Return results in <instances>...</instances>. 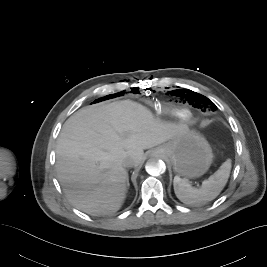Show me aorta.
Masks as SVG:
<instances>
[{
	"label": "aorta",
	"mask_w": 267,
	"mask_h": 267,
	"mask_svg": "<svg viewBox=\"0 0 267 267\" xmlns=\"http://www.w3.org/2000/svg\"><path fill=\"white\" fill-rule=\"evenodd\" d=\"M146 172L152 176H159L166 170L165 163L159 158H151L147 161L145 166Z\"/></svg>",
	"instance_id": "1"
}]
</instances>
